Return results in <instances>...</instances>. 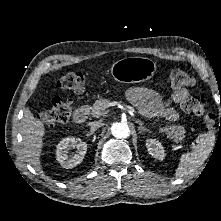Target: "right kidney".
Wrapping results in <instances>:
<instances>
[{
	"label": "right kidney",
	"mask_w": 221,
	"mask_h": 221,
	"mask_svg": "<svg viewBox=\"0 0 221 221\" xmlns=\"http://www.w3.org/2000/svg\"><path fill=\"white\" fill-rule=\"evenodd\" d=\"M76 148V153L68 157V152ZM87 151V143L77 141L74 137L63 138L56 149V158L63 168L71 169L82 162Z\"/></svg>",
	"instance_id": "ca27d5eb"
}]
</instances>
